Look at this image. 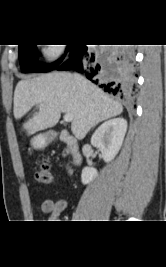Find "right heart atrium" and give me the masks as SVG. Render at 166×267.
I'll return each mask as SVG.
<instances>
[{
    "instance_id": "1",
    "label": "right heart atrium",
    "mask_w": 166,
    "mask_h": 267,
    "mask_svg": "<svg viewBox=\"0 0 166 267\" xmlns=\"http://www.w3.org/2000/svg\"><path fill=\"white\" fill-rule=\"evenodd\" d=\"M64 53V46L48 44L43 48V55L48 60H56Z\"/></svg>"
}]
</instances>
